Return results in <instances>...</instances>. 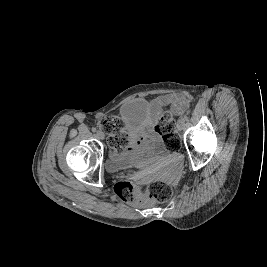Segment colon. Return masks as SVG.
I'll list each match as a JSON object with an SVG mask.
<instances>
[{"label": "colon", "mask_w": 267, "mask_h": 267, "mask_svg": "<svg viewBox=\"0 0 267 267\" xmlns=\"http://www.w3.org/2000/svg\"><path fill=\"white\" fill-rule=\"evenodd\" d=\"M100 128L107 135L110 155L120 153L128 142V134L124 122L117 116H108L100 122ZM154 131L160 135L167 149L178 150L181 141L176 130L174 114L165 111L154 126ZM117 195L125 202H134L141 193L140 187L129 180L116 184ZM172 195L171 187L162 181H153L150 184V197L157 202H165Z\"/></svg>", "instance_id": "obj_1"}]
</instances>
